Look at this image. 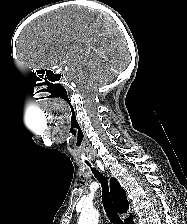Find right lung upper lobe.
I'll return each instance as SVG.
<instances>
[{"instance_id":"cb5924a9","label":"right lung upper lobe","mask_w":187,"mask_h":224,"mask_svg":"<svg viewBox=\"0 0 187 224\" xmlns=\"http://www.w3.org/2000/svg\"><path fill=\"white\" fill-rule=\"evenodd\" d=\"M110 192L118 212L126 213L129 208V202L126 199V192L115 178L110 179ZM131 218L132 215L129 218L125 219V224L129 222Z\"/></svg>"}]
</instances>
